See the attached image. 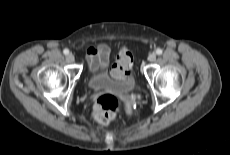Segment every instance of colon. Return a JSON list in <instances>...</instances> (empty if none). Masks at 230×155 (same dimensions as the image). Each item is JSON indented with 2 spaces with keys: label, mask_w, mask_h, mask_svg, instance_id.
I'll use <instances>...</instances> for the list:
<instances>
[{
  "label": "colon",
  "mask_w": 230,
  "mask_h": 155,
  "mask_svg": "<svg viewBox=\"0 0 230 155\" xmlns=\"http://www.w3.org/2000/svg\"><path fill=\"white\" fill-rule=\"evenodd\" d=\"M124 60L128 65H132L133 56L130 51L126 50ZM120 110V102L118 98L112 94H104L100 96L94 106L93 119L100 124L111 122Z\"/></svg>",
  "instance_id": "colon-1"
}]
</instances>
